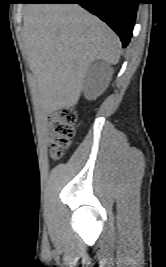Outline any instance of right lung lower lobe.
<instances>
[{"label":"right lung lower lobe","mask_w":166,"mask_h":267,"mask_svg":"<svg viewBox=\"0 0 166 267\" xmlns=\"http://www.w3.org/2000/svg\"><path fill=\"white\" fill-rule=\"evenodd\" d=\"M23 3H78L106 22L126 47L132 36L138 0H24Z\"/></svg>","instance_id":"98d812e1"}]
</instances>
